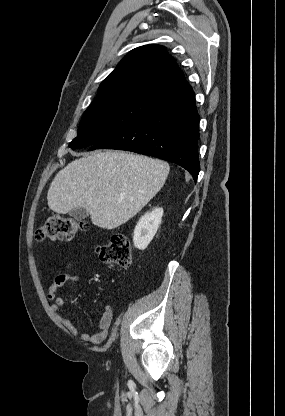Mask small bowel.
<instances>
[{"label": "small bowel", "mask_w": 285, "mask_h": 416, "mask_svg": "<svg viewBox=\"0 0 285 416\" xmlns=\"http://www.w3.org/2000/svg\"><path fill=\"white\" fill-rule=\"evenodd\" d=\"M81 278L75 273H59L54 276L52 282L47 286L45 295L46 298L52 302L51 311L58 321V323L65 328L71 335L77 336L78 329L73 325L72 321L63 312L65 300L62 296L57 295V289L64 286L66 283H78ZM113 320V309L107 305L104 307L102 316L99 321L98 331L91 334L84 332L81 334V339L92 344H100L106 340L109 329Z\"/></svg>", "instance_id": "c3829d8e"}]
</instances>
